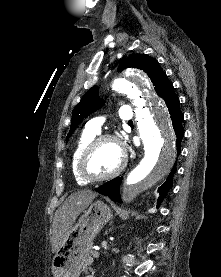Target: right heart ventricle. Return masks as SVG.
I'll return each instance as SVG.
<instances>
[{"label":"right heart ventricle","mask_w":221,"mask_h":277,"mask_svg":"<svg viewBox=\"0 0 221 277\" xmlns=\"http://www.w3.org/2000/svg\"><path fill=\"white\" fill-rule=\"evenodd\" d=\"M97 136V133L90 131L88 129H85L81 135L79 136L75 148L72 153L71 158V169L74 179L78 184H86L87 181H85L78 172V161L81 156V153L85 149V147Z\"/></svg>","instance_id":"e07e8e85"}]
</instances>
